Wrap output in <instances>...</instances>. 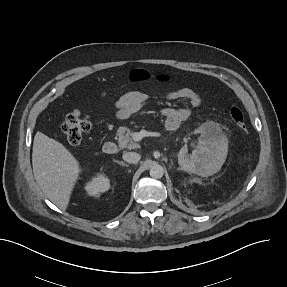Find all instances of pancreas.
Instances as JSON below:
<instances>
[{"instance_id": "pancreas-1", "label": "pancreas", "mask_w": 287, "mask_h": 287, "mask_svg": "<svg viewBox=\"0 0 287 287\" xmlns=\"http://www.w3.org/2000/svg\"><path fill=\"white\" fill-rule=\"evenodd\" d=\"M119 148H127L129 150L136 149L139 145L133 140V131L127 127H119L117 130Z\"/></svg>"}]
</instances>
